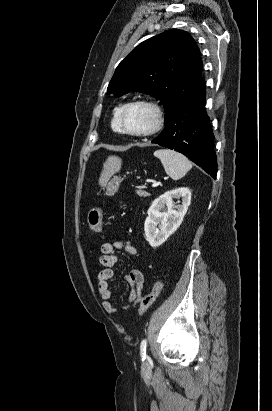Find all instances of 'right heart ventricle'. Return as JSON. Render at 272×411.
I'll use <instances>...</instances> for the list:
<instances>
[{
  "instance_id": "1",
  "label": "right heart ventricle",
  "mask_w": 272,
  "mask_h": 411,
  "mask_svg": "<svg viewBox=\"0 0 272 411\" xmlns=\"http://www.w3.org/2000/svg\"><path fill=\"white\" fill-rule=\"evenodd\" d=\"M122 107H123V104H120L114 109L113 114H112V119H111V128L113 129V131L117 133H120V128L118 124V116H119V112Z\"/></svg>"
}]
</instances>
